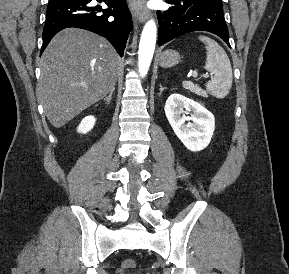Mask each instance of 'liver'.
<instances>
[{"label":"liver","instance_id":"6515ba94","mask_svg":"<svg viewBox=\"0 0 289 274\" xmlns=\"http://www.w3.org/2000/svg\"><path fill=\"white\" fill-rule=\"evenodd\" d=\"M120 57L104 38L75 28L45 49L36 93L49 122L60 128L114 88Z\"/></svg>","mask_w":289,"mask_h":274}]
</instances>
